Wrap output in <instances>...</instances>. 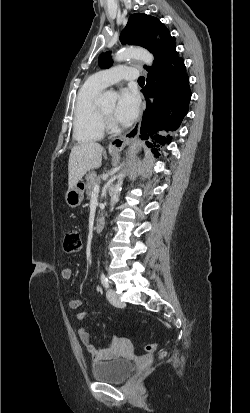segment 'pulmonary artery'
Returning <instances> with one entry per match:
<instances>
[{
  "label": "pulmonary artery",
  "mask_w": 250,
  "mask_h": 413,
  "mask_svg": "<svg viewBox=\"0 0 250 413\" xmlns=\"http://www.w3.org/2000/svg\"><path fill=\"white\" fill-rule=\"evenodd\" d=\"M139 75V71L136 68L126 66H116L106 70H102L94 74L90 79L99 87L106 88L119 81L135 80Z\"/></svg>",
  "instance_id": "pulmonary-artery-1"
}]
</instances>
